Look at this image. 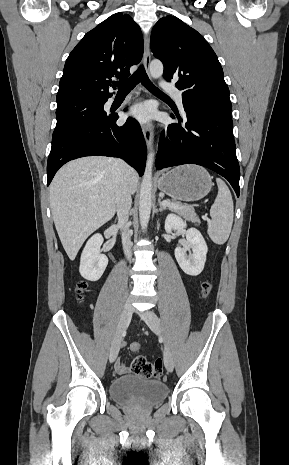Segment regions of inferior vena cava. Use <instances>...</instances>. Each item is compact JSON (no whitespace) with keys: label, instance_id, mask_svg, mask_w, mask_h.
I'll return each mask as SVG.
<instances>
[{"label":"inferior vena cava","instance_id":"obj_1","mask_svg":"<svg viewBox=\"0 0 289 465\" xmlns=\"http://www.w3.org/2000/svg\"><path fill=\"white\" fill-rule=\"evenodd\" d=\"M114 164L119 171L116 191V211L118 217V225L120 228L123 229L122 245L124 253L129 259L131 257V233L127 228V222L129 218V210L131 208L132 199L131 191L124 174L127 164L121 159H114Z\"/></svg>","mask_w":289,"mask_h":465}]
</instances>
